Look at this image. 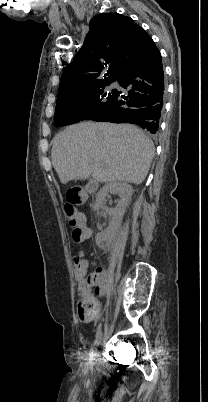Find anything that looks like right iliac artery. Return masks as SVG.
Returning <instances> with one entry per match:
<instances>
[{
  "mask_svg": "<svg viewBox=\"0 0 208 402\" xmlns=\"http://www.w3.org/2000/svg\"><path fill=\"white\" fill-rule=\"evenodd\" d=\"M101 328H102V324L100 323L97 327V331H96V335H95L96 339L99 337V335L101 333ZM92 350H93V348H92ZM90 358H92V352H90Z\"/></svg>",
  "mask_w": 208,
  "mask_h": 402,
  "instance_id": "1",
  "label": "right iliac artery"
}]
</instances>
